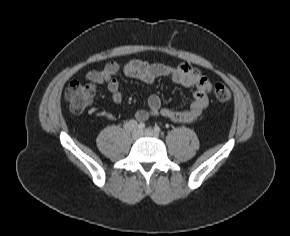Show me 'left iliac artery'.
Segmentation results:
<instances>
[{
	"label": "left iliac artery",
	"instance_id": "44dca946",
	"mask_svg": "<svg viewBox=\"0 0 290 236\" xmlns=\"http://www.w3.org/2000/svg\"><path fill=\"white\" fill-rule=\"evenodd\" d=\"M154 130H155L157 133H160L161 128H160L159 126L156 125V126L154 127Z\"/></svg>",
	"mask_w": 290,
	"mask_h": 236
}]
</instances>
